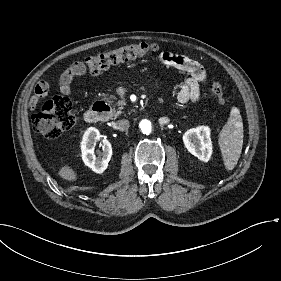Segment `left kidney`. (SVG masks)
Here are the masks:
<instances>
[{
	"mask_svg": "<svg viewBox=\"0 0 281 281\" xmlns=\"http://www.w3.org/2000/svg\"><path fill=\"white\" fill-rule=\"evenodd\" d=\"M187 149L201 161H208L211 155V142L208 127H198L188 130L183 135Z\"/></svg>",
	"mask_w": 281,
	"mask_h": 281,
	"instance_id": "left-kidney-1",
	"label": "left kidney"
}]
</instances>
